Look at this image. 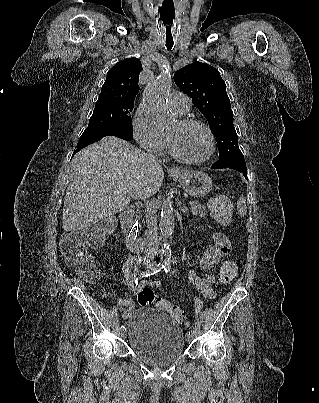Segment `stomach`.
<instances>
[{
  "label": "stomach",
  "mask_w": 319,
  "mask_h": 403,
  "mask_svg": "<svg viewBox=\"0 0 319 403\" xmlns=\"http://www.w3.org/2000/svg\"><path fill=\"white\" fill-rule=\"evenodd\" d=\"M184 191L194 198L206 196L212 189V180L204 172L182 171L175 175Z\"/></svg>",
  "instance_id": "obj_1"
}]
</instances>
